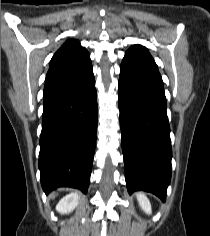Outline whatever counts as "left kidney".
<instances>
[{
    "label": "left kidney",
    "mask_w": 210,
    "mask_h": 236,
    "mask_svg": "<svg viewBox=\"0 0 210 236\" xmlns=\"http://www.w3.org/2000/svg\"><path fill=\"white\" fill-rule=\"evenodd\" d=\"M136 196H137V201H138L141 209L145 213L150 214L151 213V205H150L149 199L144 194H141V193H138Z\"/></svg>",
    "instance_id": "1"
}]
</instances>
